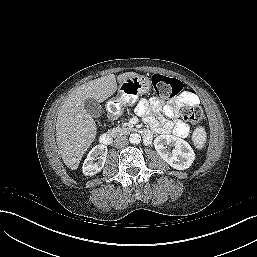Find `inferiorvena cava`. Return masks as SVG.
<instances>
[{
    "label": "inferior vena cava",
    "instance_id": "obj_1",
    "mask_svg": "<svg viewBox=\"0 0 257 257\" xmlns=\"http://www.w3.org/2000/svg\"><path fill=\"white\" fill-rule=\"evenodd\" d=\"M129 141L126 136H119L114 140V146L116 148H123L128 145Z\"/></svg>",
    "mask_w": 257,
    "mask_h": 257
}]
</instances>
